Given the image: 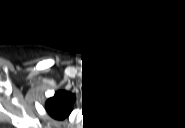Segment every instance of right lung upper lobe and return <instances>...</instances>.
I'll use <instances>...</instances> for the list:
<instances>
[{
	"mask_svg": "<svg viewBox=\"0 0 185 128\" xmlns=\"http://www.w3.org/2000/svg\"><path fill=\"white\" fill-rule=\"evenodd\" d=\"M70 109L71 100L61 95H57V98H54L48 106L50 114L56 117L64 116Z\"/></svg>",
	"mask_w": 185,
	"mask_h": 128,
	"instance_id": "obj_1",
	"label": "right lung upper lobe"
}]
</instances>
